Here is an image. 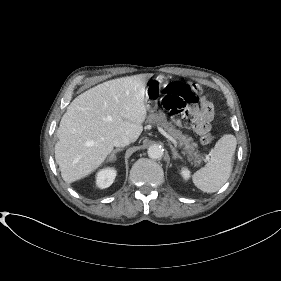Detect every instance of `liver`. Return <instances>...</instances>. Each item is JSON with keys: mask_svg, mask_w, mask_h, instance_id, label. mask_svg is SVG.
I'll list each match as a JSON object with an SVG mask.
<instances>
[{"mask_svg": "<svg viewBox=\"0 0 281 281\" xmlns=\"http://www.w3.org/2000/svg\"><path fill=\"white\" fill-rule=\"evenodd\" d=\"M146 74L101 83L77 96L62 116L55 159L66 183L86 177L112 152L113 140L143 131Z\"/></svg>", "mask_w": 281, "mask_h": 281, "instance_id": "6515ba94", "label": "liver"}]
</instances>
